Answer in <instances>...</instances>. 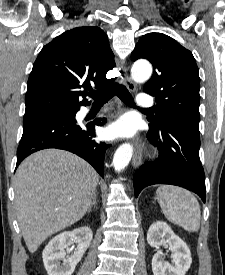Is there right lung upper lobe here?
Returning <instances> with one entry per match:
<instances>
[{"instance_id": "obj_1", "label": "right lung upper lobe", "mask_w": 225, "mask_h": 275, "mask_svg": "<svg viewBox=\"0 0 225 275\" xmlns=\"http://www.w3.org/2000/svg\"><path fill=\"white\" fill-rule=\"evenodd\" d=\"M114 67L103 30L86 26L64 32L43 47L33 65L24 116L89 105L83 94L92 86L101 89L113 81L106 79V73ZM79 96L83 97L80 103Z\"/></svg>"}]
</instances>
